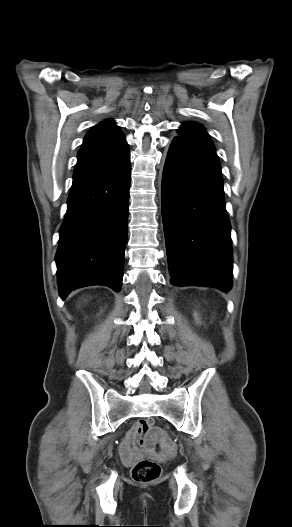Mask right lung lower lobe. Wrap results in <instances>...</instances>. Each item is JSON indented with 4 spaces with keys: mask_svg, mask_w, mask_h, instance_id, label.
<instances>
[{
    "mask_svg": "<svg viewBox=\"0 0 292 527\" xmlns=\"http://www.w3.org/2000/svg\"><path fill=\"white\" fill-rule=\"evenodd\" d=\"M130 170L126 141L79 151L55 257L63 299L70 291L90 285L120 290Z\"/></svg>",
    "mask_w": 292,
    "mask_h": 527,
    "instance_id": "98d812e1",
    "label": "right lung lower lobe"
}]
</instances>
